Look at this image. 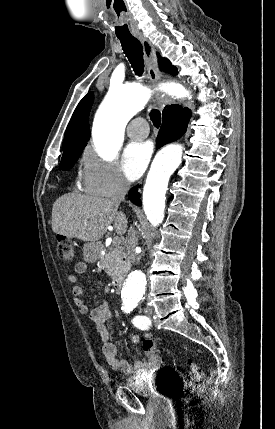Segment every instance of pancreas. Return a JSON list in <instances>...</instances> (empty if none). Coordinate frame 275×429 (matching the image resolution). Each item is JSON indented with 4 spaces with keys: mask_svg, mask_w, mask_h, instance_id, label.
<instances>
[{
    "mask_svg": "<svg viewBox=\"0 0 275 429\" xmlns=\"http://www.w3.org/2000/svg\"><path fill=\"white\" fill-rule=\"evenodd\" d=\"M123 257L124 254L119 241L109 247L104 255L100 256V265L108 271L111 278H116L124 271Z\"/></svg>",
    "mask_w": 275,
    "mask_h": 429,
    "instance_id": "pancreas-1",
    "label": "pancreas"
}]
</instances>
